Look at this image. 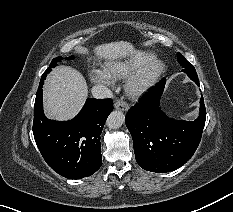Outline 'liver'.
Returning <instances> with one entry per match:
<instances>
[{
    "label": "liver",
    "mask_w": 233,
    "mask_h": 212,
    "mask_svg": "<svg viewBox=\"0 0 233 212\" xmlns=\"http://www.w3.org/2000/svg\"><path fill=\"white\" fill-rule=\"evenodd\" d=\"M94 52L98 58L113 61L133 55L135 48L130 42L117 41L98 45ZM87 96L88 87L82 74L71 67L58 66L44 85V112L50 119L69 120L80 111Z\"/></svg>",
    "instance_id": "6515ba94"
}]
</instances>
